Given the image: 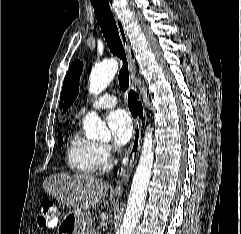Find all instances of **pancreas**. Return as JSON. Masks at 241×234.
<instances>
[{
	"mask_svg": "<svg viewBox=\"0 0 241 234\" xmlns=\"http://www.w3.org/2000/svg\"><path fill=\"white\" fill-rule=\"evenodd\" d=\"M85 234H94V231L92 228L88 229Z\"/></svg>",
	"mask_w": 241,
	"mask_h": 234,
	"instance_id": "obj_1",
	"label": "pancreas"
}]
</instances>
